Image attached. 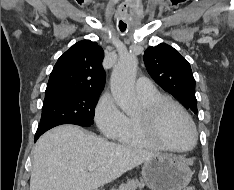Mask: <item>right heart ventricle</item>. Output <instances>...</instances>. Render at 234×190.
<instances>
[{
	"label": "right heart ventricle",
	"mask_w": 234,
	"mask_h": 190,
	"mask_svg": "<svg viewBox=\"0 0 234 190\" xmlns=\"http://www.w3.org/2000/svg\"><path fill=\"white\" fill-rule=\"evenodd\" d=\"M140 102L144 107L150 105L159 98L165 97L158 92L147 96H139ZM117 140L124 145L142 148V149H160L146 134L142 124L139 121L138 115L125 116V122L122 130L117 136Z\"/></svg>",
	"instance_id": "e07e8e85"
}]
</instances>
